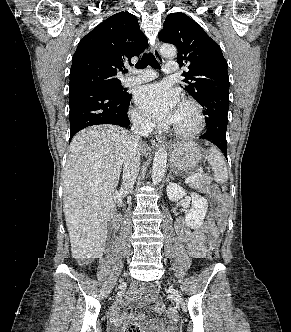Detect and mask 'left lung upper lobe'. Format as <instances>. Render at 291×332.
Segmentation results:
<instances>
[{
    "mask_svg": "<svg viewBox=\"0 0 291 332\" xmlns=\"http://www.w3.org/2000/svg\"><path fill=\"white\" fill-rule=\"evenodd\" d=\"M159 39L178 49L177 62L187 65L182 87L198 102L210 95H229L227 61L220 46L184 13H171Z\"/></svg>",
    "mask_w": 291,
    "mask_h": 332,
    "instance_id": "left-lung-upper-lobe-1",
    "label": "left lung upper lobe"
}]
</instances>
